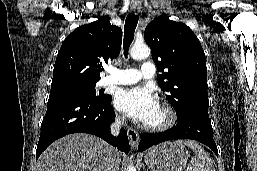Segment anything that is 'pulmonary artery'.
I'll list each match as a JSON object with an SVG mask.
<instances>
[{
    "mask_svg": "<svg viewBox=\"0 0 257 171\" xmlns=\"http://www.w3.org/2000/svg\"><path fill=\"white\" fill-rule=\"evenodd\" d=\"M155 71L156 68L152 62H143L139 70L134 68L122 70L109 68V75L105 76L101 83L104 86L134 84L141 79H149L153 77Z\"/></svg>",
    "mask_w": 257,
    "mask_h": 171,
    "instance_id": "obj_1",
    "label": "pulmonary artery"
}]
</instances>
